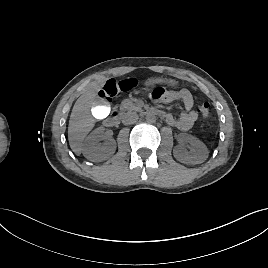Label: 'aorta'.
I'll use <instances>...</instances> for the list:
<instances>
[{
    "instance_id": "aorta-1",
    "label": "aorta",
    "mask_w": 268,
    "mask_h": 268,
    "mask_svg": "<svg viewBox=\"0 0 268 268\" xmlns=\"http://www.w3.org/2000/svg\"><path fill=\"white\" fill-rule=\"evenodd\" d=\"M146 122L150 123V124L155 123L156 122V116L154 114H152V113H148L146 115Z\"/></svg>"
}]
</instances>
